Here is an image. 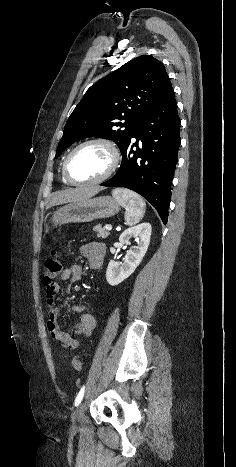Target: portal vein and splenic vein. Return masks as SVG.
Returning a JSON list of instances; mask_svg holds the SVG:
<instances>
[{
	"mask_svg": "<svg viewBox=\"0 0 236 467\" xmlns=\"http://www.w3.org/2000/svg\"><path fill=\"white\" fill-rule=\"evenodd\" d=\"M106 229L110 231V230H112V226H111V225H107V226H106Z\"/></svg>",
	"mask_w": 236,
	"mask_h": 467,
	"instance_id": "18ae733b",
	"label": "portal vein and splenic vein"
}]
</instances>
